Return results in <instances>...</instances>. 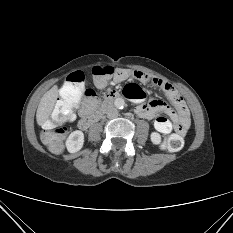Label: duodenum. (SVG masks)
<instances>
[{"mask_svg": "<svg viewBox=\"0 0 233 233\" xmlns=\"http://www.w3.org/2000/svg\"><path fill=\"white\" fill-rule=\"evenodd\" d=\"M120 97V93L116 91L108 93L104 98L101 107L94 114L80 119L79 127L83 130L88 129L100 118V116L112 105V103Z\"/></svg>", "mask_w": 233, "mask_h": 233, "instance_id": "duodenum-1", "label": "duodenum"}]
</instances>
